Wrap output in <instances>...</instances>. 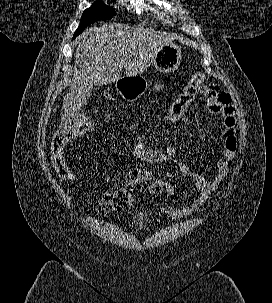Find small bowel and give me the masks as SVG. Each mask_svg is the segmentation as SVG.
I'll use <instances>...</instances> for the list:
<instances>
[{"instance_id": "obj_1", "label": "small bowel", "mask_w": 272, "mask_h": 303, "mask_svg": "<svg viewBox=\"0 0 272 303\" xmlns=\"http://www.w3.org/2000/svg\"><path fill=\"white\" fill-rule=\"evenodd\" d=\"M200 94L206 98L209 112L221 116L223 119L221 134L224 140V149L222 157L217 162L216 173L211 180H205L200 174L194 172L187 165L173 159L165 150L153 148L132 149L133 155L137 159L151 164L172 163L182 174L193 181L198 195L187 206L184 208L164 206L162 208L163 212L175 218H184L196 212L208 201L210 196L225 180L228 174L229 163L236 154V117L231 96L219 90L215 85H203ZM150 179L151 172L147 168L141 166L132 167L125 174L124 183L127 187H136ZM174 193V187L166 183L163 192L154 196L159 197L164 194L172 196Z\"/></svg>"}]
</instances>
